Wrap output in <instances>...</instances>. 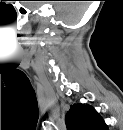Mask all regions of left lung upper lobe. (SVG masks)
Here are the masks:
<instances>
[{"label":"left lung upper lobe","mask_w":123,"mask_h":130,"mask_svg":"<svg viewBox=\"0 0 123 130\" xmlns=\"http://www.w3.org/2000/svg\"><path fill=\"white\" fill-rule=\"evenodd\" d=\"M68 130H107V125L96 110L88 105L74 104L66 114Z\"/></svg>","instance_id":"left-lung-upper-lobe-1"}]
</instances>
